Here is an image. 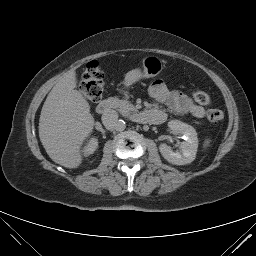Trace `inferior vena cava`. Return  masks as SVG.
I'll return each instance as SVG.
<instances>
[{"mask_svg":"<svg viewBox=\"0 0 256 256\" xmlns=\"http://www.w3.org/2000/svg\"><path fill=\"white\" fill-rule=\"evenodd\" d=\"M101 120L106 129H117V125L119 122L118 113L115 110H108L102 115Z\"/></svg>","mask_w":256,"mask_h":256,"instance_id":"1","label":"inferior vena cava"}]
</instances>
